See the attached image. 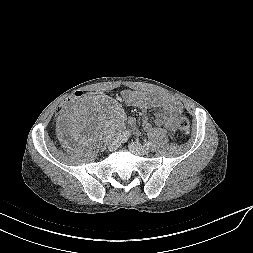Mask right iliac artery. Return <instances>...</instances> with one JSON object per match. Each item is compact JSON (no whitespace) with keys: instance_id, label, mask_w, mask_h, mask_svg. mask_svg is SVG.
<instances>
[{"instance_id":"82829eb1","label":"right iliac artery","mask_w":253,"mask_h":253,"mask_svg":"<svg viewBox=\"0 0 253 253\" xmlns=\"http://www.w3.org/2000/svg\"><path fill=\"white\" fill-rule=\"evenodd\" d=\"M130 137L129 131H123L122 134H120V138L127 139Z\"/></svg>"}]
</instances>
